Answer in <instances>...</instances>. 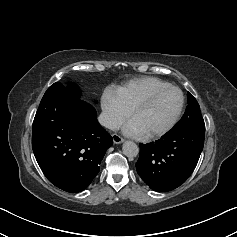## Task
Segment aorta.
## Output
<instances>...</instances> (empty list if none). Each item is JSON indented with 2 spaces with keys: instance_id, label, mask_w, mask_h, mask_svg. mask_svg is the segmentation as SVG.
I'll return each mask as SVG.
<instances>
[{
  "instance_id": "aorta-1",
  "label": "aorta",
  "mask_w": 237,
  "mask_h": 237,
  "mask_svg": "<svg viewBox=\"0 0 237 237\" xmlns=\"http://www.w3.org/2000/svg\"><path fill=\"white\" fill-rule=\"evenodd\" d=\"M123 154L128 158H134L139 153L138 146L132 141H126L122 146Z\"/></svg>"
}]
</instances>
